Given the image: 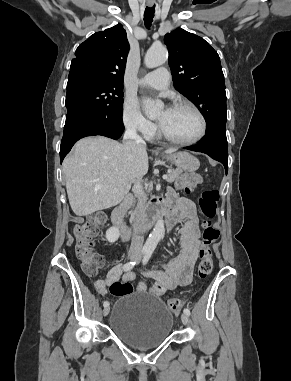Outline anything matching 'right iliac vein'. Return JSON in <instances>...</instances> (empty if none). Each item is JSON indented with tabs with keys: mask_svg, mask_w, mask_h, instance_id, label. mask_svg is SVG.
Listing matches in <instances>:
<instances>
[{
	"mask_svg": "<svg viewBox=\"0 0 291 381\" xmlns=\"http://www.w3.org/2000/svg\"><path fill=\"white\" fill-rule=\"evenodd\" d=\"M129 258L134 259L135 255H130ZM109 312H110V308L108 306L103 309V315L104 316H107L109 314Z\"/></svg>",
	"mask_w": 291,
	"mask_h": 381,
	"instance_id": "right-iliac-vein-1",
	"label": "right iliac vein"
}]
</instances>
